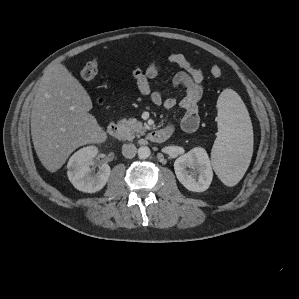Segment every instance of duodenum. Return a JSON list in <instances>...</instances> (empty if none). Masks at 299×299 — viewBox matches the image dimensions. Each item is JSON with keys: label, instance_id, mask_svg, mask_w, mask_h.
I'll return each instance as SVG.
<instances>
[{"label": "duodenum", "instance_id": "duodenum-1", "mask_svg": "<svg viewBox=\"0 0 299 299\" xmlns=\"http://www.w3.org/2000/svg\"><path fill=\"white\" fill-rule=\"evenodd\" d=\"M107 132L112 138L119 139V140L126 139L124 130L116 122H111L108 125ZM170 134H171L170 130H168L166 128H162V129H158V130H154V131L150 132L148 134L147 138L152 142L161 143V142L166 141L169 138Z\"/></svg>", "mask_w": 299, "mask_h": 299}]
</instances>
